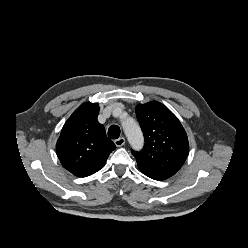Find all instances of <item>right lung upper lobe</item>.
Wrapping results in <instances>:
<instances>
[{"label": "right lung upper lobe", "instance_id": "cb5924a9", "mask_svg": "<svg viewBox=\"0 0 248 248\" xmlns=\"http://www.w3.org/2000/svg\"><path fill=\"white\" fill-rule=\"evenodd\" d=\"M99 106L80 105L64 124L56 144L57 156L65 169L78 177L99 171L116 148L98 120Z\"/></svg>", "mask_w": 248, "mask_h": 248}]
</instances>
